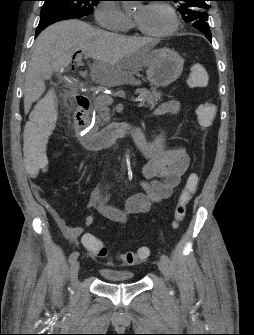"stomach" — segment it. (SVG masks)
<instances>
[{
  "mask_svg": "<svg viewBox=\"0 0 254 335\" xmlns=\"http://www.w3.org/2000/svg\"><path fill=\"white\" fill-rule=\"evenodd\" d=\"M184 59L174 50L162 48L151 52L147 79L153 88L166 87L176 81L183 71Z\"/></svg>",
  "mask_w": 254,
  "mask_h": 335,
  "instance_id": "0dacf381",
  "label": "stomach"
}]
</instances>
